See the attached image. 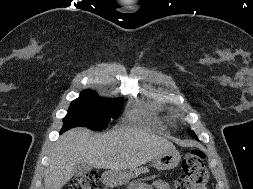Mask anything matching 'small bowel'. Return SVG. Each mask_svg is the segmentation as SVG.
I'll list each match as a JSON object with an SVG mask.
<instances>
[{"label": "small bowel", "instance_id": "small-bowel-1", "mask_svg": "<svg viewBox=\"0 0 253 189\" xmlns=\"http://www.w3.org/2000/svg\"><path fill=\"white\" fill-rule=\"evenodd\" d=\"M132 189H168V185L162 180H157L152 184H136L132 187Z\"/></svg>", "mask_w": 253, "mask_h": 189}]
</instances>
